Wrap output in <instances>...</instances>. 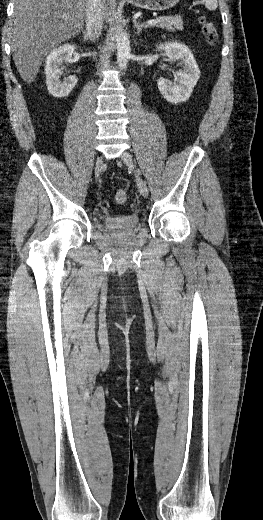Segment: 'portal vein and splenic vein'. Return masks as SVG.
<instances>
[{
    "mask_svg": "<svg viewBox=\"0 0 263 520\" xmlns=\"http://www.w3.org/2000/svg\"><path fill=\"white\" fill-rule=\"evenodd\" d=\"M65 18H67V17H65ZM158 21H159L158 19H150V20H148L147 23L148 24H156V23H158Z\"/></svg>",
    "mask_w": 263,
    "mask_h": 520,
    "instance_id": "obj_1",
    "label": "portal vein and splenic vein"
}]
</instances>
